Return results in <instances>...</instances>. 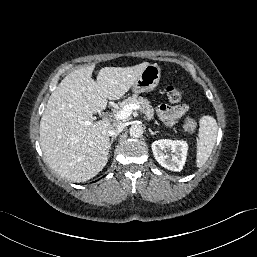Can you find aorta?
<instances>
[{"label":"aorta","mask_w":257,"mask_h":257,"mask_svg":"<svg viewBox=\"0 0 257 257\" xmlns=\"http://www.w3.org/2000/svg\"><path fill=\"white\" fill-rule=\"evenodd\" d=\"M130 136L131 137H135V138H138L140 136H142L143 134V128L141 125L139 124H133L131 127H130Z\"/></svg>","instance_id":"obj_1"}]
</instances>
